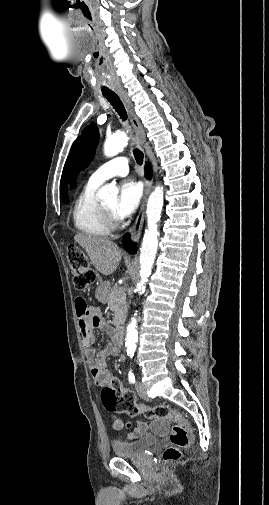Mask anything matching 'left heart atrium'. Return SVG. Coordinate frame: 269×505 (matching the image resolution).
<instances>
[{
    "label": "left heart atrium",
    "instance_id": "left-heart-atrium-1",
    "mask_svg": "<svg viewBox=\"0 0 269 505\" xmlns=\"http://www.w3.org/2000/svg\"><path fill=\"white\" fill-rule=\"evenodd\" d=\"M142 197L140 184L134 181H124L119 190L114 213L119 218H126L135 212Z\"/></svg>",
    "mask_w": 269,
    "mask_h": 505
}]
</instances>
